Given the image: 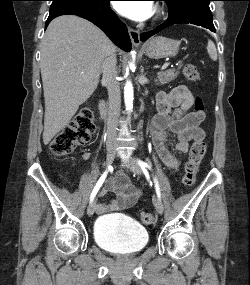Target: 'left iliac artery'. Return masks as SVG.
Listing matches in <instances>:
<instances>
[{
    "mask_svg": "<svg viewBox=\"0 0 250 285\" xmlns=\"http://www.w3.org/2000/svg\"><path fill=\"white\" fill-rule=\"evenodd\" d=\"M138 164L140 165V167L145 170V168H148V169H151V166L141 160H138ZM154 182H155V188H156V192H157V195L158 197H160V190H159V185H158V182L156 180V178H154Z\"/></svg>",
    "mask_w": 250,
    "mask_h": 285,
    "instance_id": "left-iliac-artery-1",
    "label": "left iliac artery"
}]
</instances>
